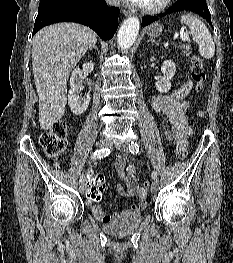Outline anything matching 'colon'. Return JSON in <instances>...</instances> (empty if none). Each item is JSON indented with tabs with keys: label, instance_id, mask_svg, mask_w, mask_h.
Returning <instances> with one entry per match:
<instances>
[{
	"label": "colon",
	"instance_id": "1",
	"mask_svg": "<svg viewBox=\"0 0 233 263\" xmlns=\"http://www.w3.org/2000/svg\"><path fill=\"white\" fill-rule=\"evenodd\" d=\"M191 78L195 83V91L200 92L204 87L206 79L204 65L202 60L194 55L191 58ZM68 124L65 121L56 122L50 130L42 133L39 138L41 147L45 154L52 158L57 159L63 154L67 146ZM187 150H182L178 155L183 158ZM100 172L99 170L97 171ZM88 190H84L83 194L87 195L89 202H100L101 193L105 188V181L102 175H89L88 176ZM149 183L145 182L143 190L147 193Z\"/></svg>",
	"mask_w": 233,
	"mask_h": 263
}]
</instances>
